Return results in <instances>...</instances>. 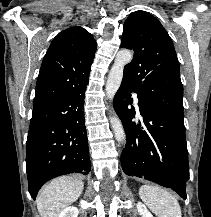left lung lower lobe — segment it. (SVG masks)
Listing matches in <instances>:
<instances>
[{
  "instance_id": "left-lung-lower-lobe-1",
  "label": "left lung lower lobe",
  "mask_w": 211,
  "mask_h": 217,
  "mask_svg": "<svg viewBox=\"0 0 211 217\" xmlns=\"http://www.w3.org/2000/svg\"><path fill=\"white\" fill-rule=\"evenodd\" d=\"M130 92L136 90L122 80L113 102L126 133L121 154L124 173L171 188L186 199L189 165L184 122L156 111L138 95L144 123L136 124Z\"/></svg>"
}]
</instances>
